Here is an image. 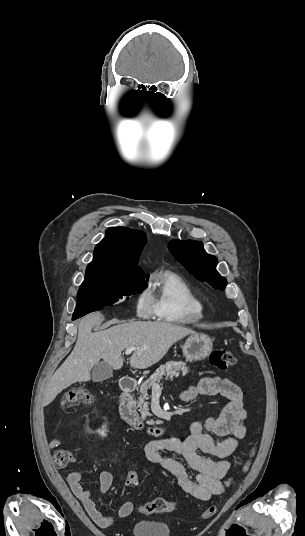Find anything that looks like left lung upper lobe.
<instances>
[{
    "instance_id": "obj_1",
    "label": "left lung upper lobe",
    "mask_w": 305,
    "mask_h": 536,
    "mask_svg": "<svg viewBox=\"0 0 305 536\" xmlns=\"http://www.w3.org/2000/svg\"><path fill=\"white\" fill-rule=\"evenodd\" d=\"M168 248L172 255L196 278L215 289L224 290L227 280L216 271L217 258L209 255L199 241L173 240Z\"/></svg>"
}]
</instances>
